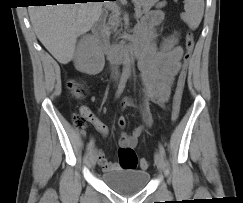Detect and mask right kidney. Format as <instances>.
I'll use <instances>...</instances> for the list:
<instances>
[{"instance_id": "1", "label": "right kidney", "mask_w": 243, "mask_h": 203, "mask_svg": "<svg viewBox=\"0 0 243 203\" xmlns=\"http://www.w3.org/2000/svg\"><path fill=\"white\" fill-rule=\"evenodd\" d=\"M104 55L94 38L86 35L81 39L75 53V68L89 75H96L103 70Z\"/></svg>"}]
</instances>
